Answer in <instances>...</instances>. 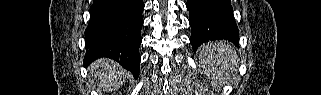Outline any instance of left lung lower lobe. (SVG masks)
Returning a JSON list of instances; mask_svg holds the SVG:
<instances>
[{
    "instance_id": "left-lung-lower-lobe-1",
    "label": "left lung lower lobe",
    "mask_w": 321,
    "mask_h": 95,
    "mask_svg": "<svg viewBox=\"0 0 321 95\" xmlns=\"http://www.w3.org/2000/svg\"><path fill=\"white\" fill-rule=\"evenodd\" d=\"M186 7L190 14V43L194 51L209 40L239 43L230 0H188Z\"/></svg>"
}]
</instances>
